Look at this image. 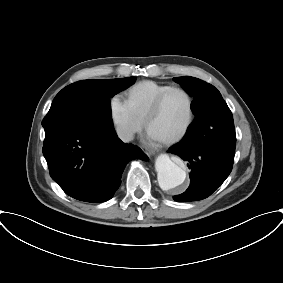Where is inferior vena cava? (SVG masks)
I'll return each instance as SVG.
<instances>
[{"instance_id":"inferior-vena-cava-1","label":"inferior vena cava","mask_w":283,"mask_h":283,"mask_svg":"<svg viewBox=\"0 0 283 283\" xmlns=\"http://www.w3.org/2000/svg\"><path fill=\"white\" fill-rule=\"evenodd\" d=\"M117 134L123 142H129L133 140V132L127 128H118Z\"/></svg>"}]
</instances>
